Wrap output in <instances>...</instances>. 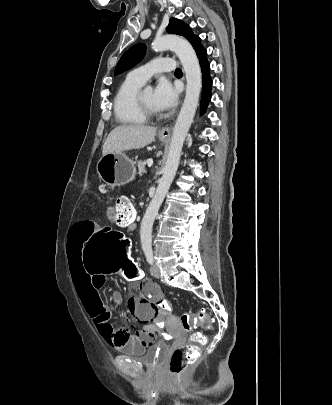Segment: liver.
<instances>
[{
	"instance_id": "liver-1",
	"label": "liver",
	"mask_w": 332,
	"mask_h": 405,
	"mask_svg": "<svg viewBox=\"0 0 332 405\" xmlns=\"http://www.w3.org/2000/svg\"><path fill=\"white\" fill-rule=\"evenodd\" d=\"M156 128L146 125H121L115 127L106 138L103 155L144 148L152 143L156 135Z\"/></svg>"
}]
</instances>
